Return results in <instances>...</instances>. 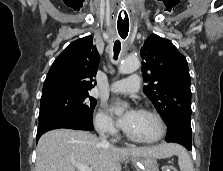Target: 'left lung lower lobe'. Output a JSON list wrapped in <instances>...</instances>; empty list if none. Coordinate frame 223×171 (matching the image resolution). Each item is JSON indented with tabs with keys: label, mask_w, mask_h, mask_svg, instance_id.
<instances>
[{
	"label": "left lung lower lobe",
	"mask_w": 223,
	"mask_h": 171,
	"mask_svg": "<svg viewBox=\"0 0 223 171\" xmlns=\"http://www.w3.org/2000/svg\"><path fill=\"white\" fill-rule=\"evenodd\" d=\"M191 132V127L183 123H172L168 126V132L165 141L181 144L188 150H191Z\"/></svg>",
	"instance_id": "obj_1"
}]
</instances>
